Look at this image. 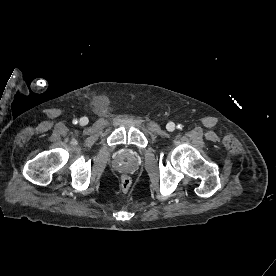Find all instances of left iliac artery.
<instances>
[{"mask_svg": "<svg viewBox=\"0 0 276 276\" xmlns=\"http://www.w3.org/2000/svg\"><path fill=\"white\" fill-rule=\"evenodd\" d=\"M177 127H178L179 129H182V125H178Z\"/></svg>", "mask_w": 276, "mask_h": 276, "instance_id": "left-iliac-artery-1", "label": "left iliac artery"}]
</instances>
